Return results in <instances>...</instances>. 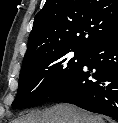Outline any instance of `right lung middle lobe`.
I'll return each instance as SVG.
<instances>
[{"label":"right lung middle lobe","instance_id":"obj_1","mask_svg":"<svg viewBox=\"0 0 118 123\" xmlns=\"http://www.w3.org/2000/svg\"><path fill=\"white\" fill-rule=\"evenodd\" d=\"M86 54L87 51L77 48H60L24 63L12 108L47 99L77 73L85 62Z\"/></svg>","mask_w":118,"mask_h":123}]
</instances>
